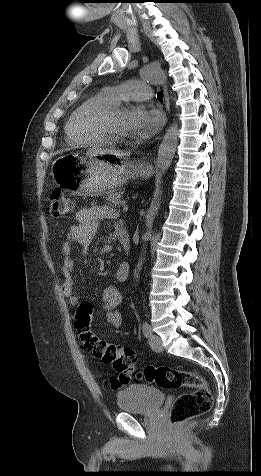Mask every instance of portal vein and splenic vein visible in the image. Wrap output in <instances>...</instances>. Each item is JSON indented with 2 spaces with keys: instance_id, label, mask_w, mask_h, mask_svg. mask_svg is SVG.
I'll return each instance as SVG.
<instances>
[{
  "instance_id": "obj_1",
  "label": "portal vein and splenic vein",
  "mask_w": 261,
  "mask_h": 476,
  "mask_svg": "<svg viewBox=\"0 0 261 476\" xmlns=\"http://www.w3.org/2000/svg\"><path fill=\"white\" fill-rule=\"evenodd\" d=\"M128 209H129V208H128V205H126V203L124 202V204H123V211H124V212H127Z\"/></svg>"
}]
</instances>
